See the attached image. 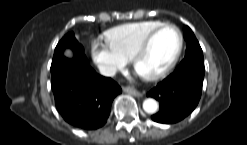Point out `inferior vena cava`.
<instances>
[{
    "mask_svg": "<svg viewBox=\"0 0 247 145\" xmlns=\"http://www.w3.org/2000/svg\"><path fill=\"white\" fill-rule=\"evenodd\" d=\"M99 71L103 76L113 77L116 74L117 69L111 65H100Z\"/></svg>",
    "mask_w": 247,
    "mask_h": 145,
    "instance_id": "inferior-vena-cava-1",
    "label": "inferior vena cava"
}]
</instances>
